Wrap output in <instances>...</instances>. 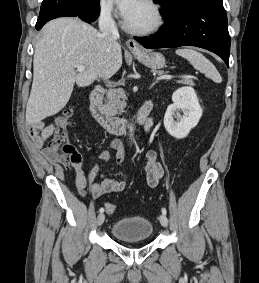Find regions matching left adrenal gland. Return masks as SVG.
Instances as JSON below:
<instances>
[{
  "label": "left adrenal gland",
  "mask_w": 259,
  "mask_h": 283,
  "mask_svg": "<svg viewBox=\"0 0 259 283\" xmlns=\"http://www.w3.org/2000/svg\"><path fill=\"white\" fill-rule=\"evenodd\" d=\"M156 83H157V81L153 82L150 86V89H152Z\"/></svg>",
  "instance_id": "1"
}]
</instances>
